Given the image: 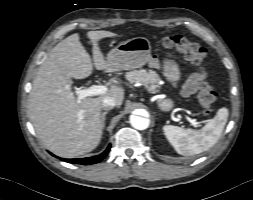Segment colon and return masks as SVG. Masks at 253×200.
Masks as SVG:
<instances>
[{
	"mask_svg": "<svg viewBox=\"0 0 253 200\" xmlns=\"http://www.w3.org/2000/svg\"><path fill=\"white\" fill-rule=\"evenodd\" d=\"M161 45L169 50H174L181 54L193 65L201 68L206 58V50L200 45L189 41L181 35L165 36L161 39ZM198 102L203 115H209L216 100L214 87L205 79L199 85Z\"/></svg>",
	"mask_w": 253,
	"mask_h": 200,
	"instance_id": "colon-1",
	"label": "colon"
}]
</instances>
